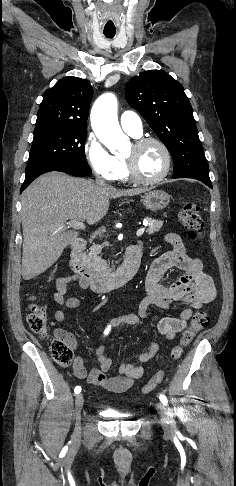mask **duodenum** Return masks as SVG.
Segmentation results:
<instances>
[{"label":"duodenum","mask_w":236,"mask_h":486,"mask_svg":"<svg viewBox=\"0 0 236 486\" xmlns=\"http://www.w3.org/2000/svg\"><path fill=\"white\" fill-rule=\"evenodd\" d=\"M86 242L77 238L70 244V267L94 292H107L119 288L130 281L140 265L142 249L131 245L126 249L125 258L119 268L111 274L89 268L83 260Z\"/></svg>","instance_id":"410a0bca"}]
</instances>
